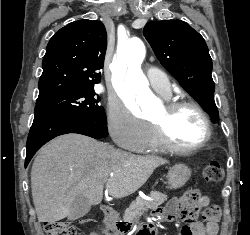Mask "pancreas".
I'll list each match as a JSON object with an SVG mask.
<instances>
[{
	"label": "pancreas",
	"mask_w": 250,
	"mask_h": 235,
	"mask_svg": "<svg viewBox=\"0 0 250 235\" xmlns=\"http://www.w3.org/2000/svg\"><path fill=\"white\" fill-rule=\"evenodd\" d=\"M149 196L153 199L151 201L137 197L134 202L125 210L124 220L127 222H138L142 214L148 209L157 208L167 200V195L157 191H151Z\"/></svg>",
	"instance_id": "cf45deb5"
}]
</instances>
